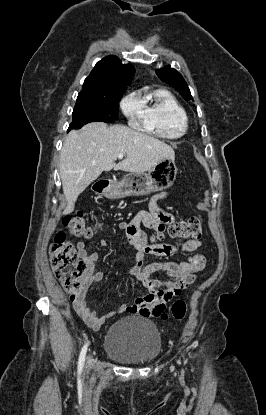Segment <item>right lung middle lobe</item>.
<instances>
[{
	"label": "right lung middle lobe",
	"mask_w": 266,
	"mask_h": 415,
	"mask_svg": "<svg viewBox=\"0 0 266 415\" xmlns=\"http://www.w3.org/2000/svg\"><path fill=\"white\" fill-rule=\"evenodd\" d=\"M123 92L108 96L79 94L69 125L71 129H79L90 122L110 123L118 118L119 101Z\"/></svg>",
	"instance_id": "right-lung-middle-lobe-1"
}]
</instances>
